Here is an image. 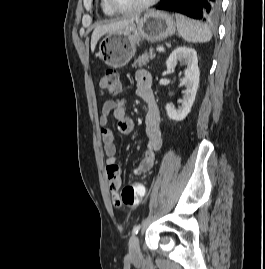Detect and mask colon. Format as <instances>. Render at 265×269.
<instances>
[{"label":"colon","instance_id":"obj_1","mask_svg":"<svg viewBox=\"0 0 265 269\" xmlns=\"http://www.w3.org/2000/svg\"><path fill=\"white\" fill-rule=\"evenodd\" d=\"M100 92L104 96L115 97L119 93V74L116 70L110 69L99 81ZM145 196V187L142 183L135 182L126 185L118 194L120 206H136Z\"/></svg>","mask_w":265,"mask_h":269}]
</instances>
